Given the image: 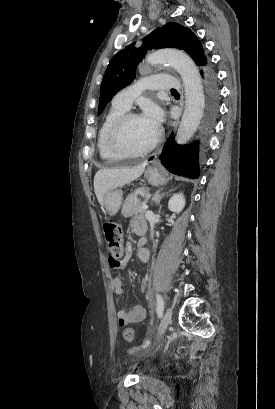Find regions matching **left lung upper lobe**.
Listing matches in <instances>:
<instances>
[{
  "instance_id": "left-lung-upper-lobe-1",
  "label": "left lung upper lobe",
  "mask_w": 275,
  "mask_h": 409,
  "mask_svg": "<svg viewBox=\"0 0 275 409\" xmlns=\"http://www.w3.org/2000/svg\"><path fill=\"white\" fill-rule=\"evenodd\" d=\"M134 44L119 51L110 61L100 88L98 115L119 90L133 81L137 65L151 48L181 49L187 52L198 66L207 65L201 42L190 29L175 22H168L162 28L153 30L143 39L141 47L136 48Z\"/></svg>"
}]
</instances>
